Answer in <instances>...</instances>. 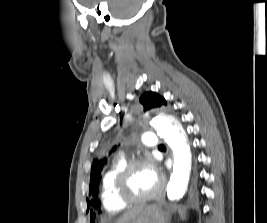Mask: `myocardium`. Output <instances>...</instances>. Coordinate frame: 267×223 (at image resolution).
<instances>
[{"instance_id": "obj_1", "label": "myocardium", "mask_w": 267, "mask_h": 223, "mask_svg": "<svg viewBox=\"0 0 267 223\" xmlns=\"http://www.w3.org/2000/svg\"><path fill=\"white\" fill-rule=\"evenodd\" d=\"M140 166H145L152 170L157 176L154 160L150 156L139 157L127 162L120 170L114 180V191L116 196L125 204L145 203L157 198L163 191L164 180L158 176L159 183L155 190L142 196H131L126 191V184L131 173Z\"/></svg>"}]
</instances>
